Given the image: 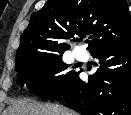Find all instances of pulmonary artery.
Segmentation results:
<instances>
[{
  "instance_id": "e3ab8cb5",
  "label": "pulmonary artery",
  "mask_w": 131,
  "mask_h": 115,
  "mask_svg": "<svg viewBox=\"0 0 131 115\" xmlns=\"http://www.w3.org/2000/svg\"><path fill=\"white\" fill-rule=\"evenodd\" d=\"M76 57H77L78 59H82V58L84 57V53L81 52V51H77V52H76Z\"/></svg>"
}]
</instances>
